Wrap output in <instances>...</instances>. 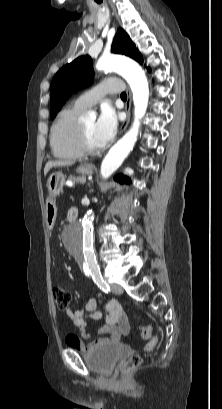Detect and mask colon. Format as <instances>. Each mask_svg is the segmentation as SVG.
<instances>
[{"label": "colon", "instance_id": "colon-1", "mask_svg": "<svg viewBox=\"0 0 222 409\" xmlns=\"http://www.w3.org/2000/svg\"><path fill=\"white\" fill-rule=\"evenodd\" d=\"M53 296H54V300L56 303V306L60 309V310H64L67 309V307L69 306L70 303V299H71V295L70 293L62 288H54L53 289ZM142 338L143 339H149L151 336V327L150 326H145L142 329L141 332ZM158 336H154L152 337L149 342L146 345V351L148 352H152L157 343H158ZM142 363V358L140 355L138 354H133L131 355L127 361L124 363V365L121 368V379L124 380L125 379V375L135 369L136 367H138L140 364Z\"/></svg>", "mask_w": 222, "mask_h": 409}]
</instances>
